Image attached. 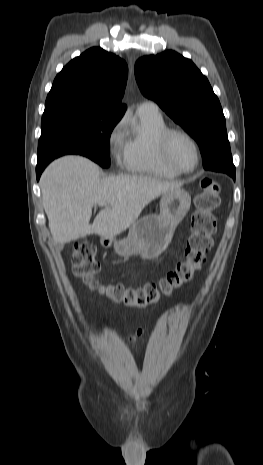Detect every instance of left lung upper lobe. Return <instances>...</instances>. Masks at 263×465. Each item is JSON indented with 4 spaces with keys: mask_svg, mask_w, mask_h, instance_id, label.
Instances as JSON below:
<instances>
[{
    "mask_svg": "<svg viewBox=\"0 0 263 465\" xmlns=\"http://www.w3.org/2000/svg\"><path fill=\"white\" fill-rule=\"evenodd\" d=\"M144 96L154 100L199 144L214 171L235 170L222 107L207 78L194 63L174 51L144 56L135 64Z\"/></svg>",
    "mask_w": 263,
    "mask_h": 465,
    "instance_id": "1",
    "label": "left lung upper lobe"
}]
</instances>
